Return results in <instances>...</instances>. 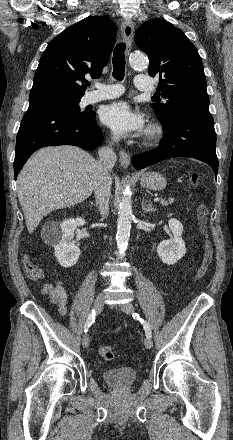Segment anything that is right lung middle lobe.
Segmentation results:
<instances>
[{
	"mask_svg": "<svg viewBox=\"0 0 233 440\" xmlns=\"http://www.w3.org/2000/svg\"><path fill=\"white\" fill-rule=\"evenodd\" d=\"M79 102H80V98H78V99H56V100L40 103L37 105H33L30 107H36V106L57 107V108L65 109L71 113L77 114L82 117H88V116H91L92 114H94L93 112H80Z\"/></svg>",
	"mask_w": 233,
	"mask_h": 440,
	"instance_id": "right-lung-middle-lobe-1",
	"label": "right lung middle lobe"
}]
</instances>
